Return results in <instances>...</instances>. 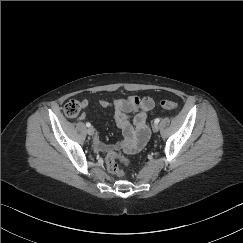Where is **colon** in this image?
I'll use <instances>...</instances> for the list:
<instances>
[{"instance_id":"colon-1","label":"colon","mask_w":243,"mask_h":243,"mask_svg":"<svg viewBox=\"0 0 243 243\" xmlns=\"http://www.w3.org/2000/svg\"><path fill=\"white\" fill-rule=\"evenodd\" d=\"M162 108L166 110H175L178 108V103L173 100L164 99L160 102ZM82 107L79 101L77 100H70L68 101L64 107L63 112L69 118H75L81 111ZM117 160H121L122 162H126V158L122 152H112L106 158V163L108 170L111 173L117 174L122 176L125 174L117 164Z\"/></svg>"}]
</instances>
